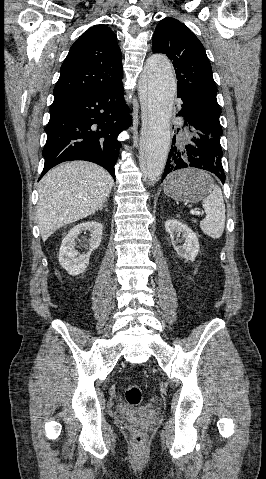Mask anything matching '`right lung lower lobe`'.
<instances>
[{"instance_id": "1", "label": "right lung lower lobe", "mask_w": 266, "mask_h": 479, "mask_svg": "<svg viewBox=\"0 0 266 479\" xmlns=\"http://www.w3.org/2000/svg\"><path fill=\"white\" fill-rule=\"evenodd\" d=\"M122 81L116 85L54 97L45 131L43 175L55 165L86 160L115 179L121 131L130 125Z\"/></svg>"}]
</instances>
